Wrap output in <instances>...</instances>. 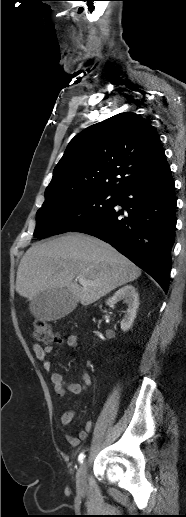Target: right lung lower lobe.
<instances>
[{"instance_id": "right-lung-lower-lobe-1", "label": "right lung lower lobe", "mask_w": 186, "mask_h": 517, "mask_svg": "<svg viewBox=\"0 0 186 517\" xmlns=\"http://www.w3.org/2000/svg\"><path fill=\"white\" fill-rule=\"evenodd\" d=\"M168 166L118 194L114 209L75 228L116 248L152 276L165 292L171 270V249L175 240L176 197ZM114 204V205H115Z\"/></svg>"}]
</instances>
